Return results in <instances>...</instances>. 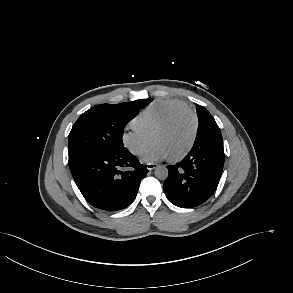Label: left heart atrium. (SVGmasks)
<instances>
[{
	"label": "left heart atrium",
	"mask_w": 293,
	"mask_h": 293,
	"mask_svg": "<svg viewBox=\"0 0 293 293\" xmlns=\"http://www.w3.org/2000/svg\"><path fill=\"white\" fill-rule=\"evenodd\" d=\"M170 157L167 149L160 143H153L142 155V161L153 163Z\"/></svg>",
	"instance_id": "obj_1"
}]
</instances>
